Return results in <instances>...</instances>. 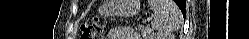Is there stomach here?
Masks as SVG:
<instances>
[{"instance_id":"obj_1","label":"stomach","mask_w":249,"mask_h":39,"mask_svg":"<svg viewBox=\"0 0 249 39\" xmlns=\"http://www.w3.org/2000/svg\"><path fill=\"white\" fill-rule=\"evenodd\" d=\"M113 7L112 12L121 16H134L140 11V6L135 0H118Z\"/></svg>"}]
</instances>
